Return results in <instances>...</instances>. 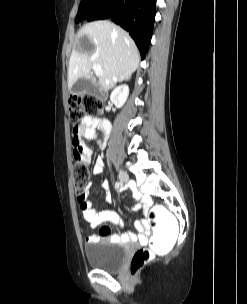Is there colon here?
Segmentation results:
<instances>
[{"instance_id": "colon-1", "label": "colon", "mask_w": 247, "mask_h": 304, "mask_svg": "<svg viewBox=\"0 0 247 304\" xmlns=\"http://www.w3.org/2000/svg\"><path fill=\"white\" fill-rule=\"evenodd\" d=\"M102 99L95 94L74 95L69 101V120L77 130L82 120L87 116L100 113ZM89 182L88 164L73 161V183L78 199H83ZM151 236L147 248L138 249L132 256L130 271L136 275L147 264L152 253H171L174 240H177L178 220L175 214H170L165 206H152L149 210Z\"/></svg>"}]
</instances>
